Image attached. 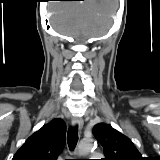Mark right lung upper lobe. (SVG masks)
Listing matches in <instances>:
<instances>
[{"mask_svg":"<svg viewBox=\"0 0 160 160\" xmlns=\"http://www.w3.org/2000/svg\"><path fill=\"white\" fill-rule=\"evenodd\" d=\"M66 142V125L54 119L31 135L12 160H56Z\"/></svg>","mask_w":160,"mask_h":160,"instance_id":"obj_1","label":"right lung upper lobe"}]
</instances>
